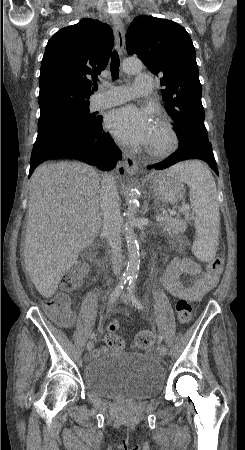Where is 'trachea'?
<instances>
[{
    "label": "trachea",
    "mask_w": 245,
    "mask_h": 450,
    "mask_svg": "<svg viewBox=\"0 0 245 450\" xmlns=\"http://www.w3.org/2000/svg\"><path fill=\"white\" fill-rule=\"evenodd\" d=\"M119 66H120L119 55L116 51H114L111 57V65H110L111 76L114 80L117 79L119 76ZM94 90L95 91L97 90V86L94 87Z\"/></svg>",
    "instance_id": "3493384b"
}]
</instances>
